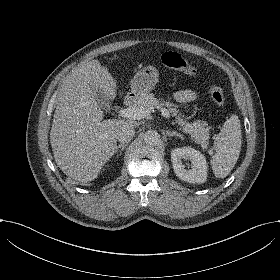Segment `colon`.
<instances>
[{"label": "colon", "mask_w": 280, "mask_h": 280, "mask_svg": "<svg viewBox=\"0 0 280 280\" xmlns=\"http://www.w3.org/2000/svg\"><path fill=\"white\" fill-rule=\"evenodd\" d=\"M163 60L169 67L175 68L178 71H182L187 75H192L196 71V65L194 62L186 60L183 57H178L172 51L165 52L163 55ZM210 96L217 105H224L225 97L221 88L212 87L210 89Z\"/></svg>", "instance_id": "obj_1"}]
</instances>
